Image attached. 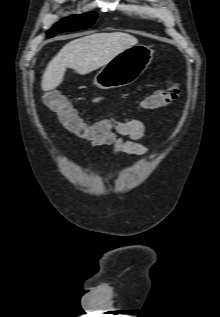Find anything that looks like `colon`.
<instances>
[{
	"label": "colon",
	"instance_id": "1",
	"mask_svg": "<svg viewBox=\"0 0 220 317\" xmlns=\"http://www.w3.org/2000/svg\"><path fill=\"white\" fill-rule=\"evenodd\" d=\"M180 87L178 82L171 80L167 88L157 90L143 100V107L148 110L162 108L178 98ZM44 103L52 109L59 117L64 126L72 132H81L85 129L86 123L79 116L77 110L70 103L65 95L54 90H46L43 93ZM101 134L112 129L111 120H103L94 123Z\"/></svg>",
	"mask_w": 220,
	"mask_h": 317
}]
</instances>
